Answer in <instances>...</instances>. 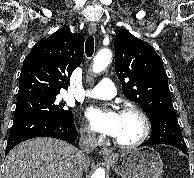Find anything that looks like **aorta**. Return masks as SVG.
<instances>
[{
  "instance_id": "aorta-1",
  "label": "aorta",
  "mask_w": 194,
  "mask_h": 178,
  "mask_svg": "<svg viewBox=\"0 0 194 178\" xmlns=\"http://www.w3.org/2000/svg\"><path fill=\"white\" fill-rule=\"evenodd\" d=\"M112 59V52L109 49L100 50L94 58L92 70L94 73L103 71ZM91 178H105V171L103 169H96Z\"/></svg>"
}]
</instances>
